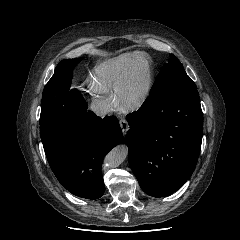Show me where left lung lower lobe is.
Returning a JSON list of instances; mask_svg holds the SVG:
<instances>
[{
    "label": "left lung lower lobe",
    "mask_w": 240,
    "mask_h": 240,
    "mask_svg": "<svg viewBox=\"0 0 240 240\" xmlns=\"http://www.w3.org/2000/svg\"><path fill=\"white\" fill-rule=\"evenodd\" d=\"M129 164L142 190L159 198L177 191L196 167L203 114L196 89H169L148 97L127 116Z\"/></svg>",
    "instance_id": "obj_1"
}]
</instances>
